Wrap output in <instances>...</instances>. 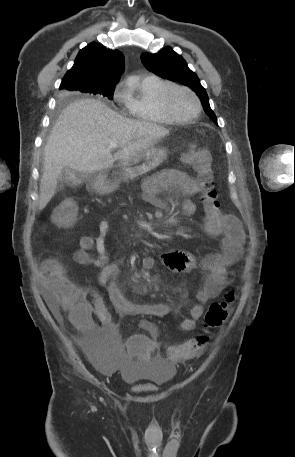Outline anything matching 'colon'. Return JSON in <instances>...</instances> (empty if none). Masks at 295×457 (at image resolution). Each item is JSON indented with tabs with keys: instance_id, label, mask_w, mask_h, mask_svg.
<instances>
[{
	"instance_id": "1",
	"label": "colon",
	"mask_w": 295,
	"mask_h": 457,
	"mask_svg": "<svg viewBox=\"0 0 295 457\" xmlns=\"http://www.w3.org/2000/svg\"><path fill=\"white\" fill-rule=\"evenodd\" d=\"M184 163L192 165L198 173L201 200L211 208L219 210L215 190L214 172L208 151L191 147L182 157ZM77 216V207L71 202L61 203L53 214V221L60 227L71 225ZM42 271L52 279V290L61 307L69 312L72 320H77L81 311L82 291L70 281L62 266L53 259L43 262ZM235 299L234 291H228L224 300L213 302L204 318V330L194 338L166 352L167 360L190 359L201 353L209 340L210 329L222 326L229 315V304ZM155 342L150 341L148 330H131L127 341L120 349L121 358L127 363L150 362L156 360Z\"/></svg>"
}]
</instances>
